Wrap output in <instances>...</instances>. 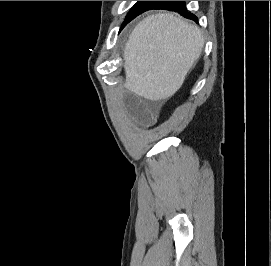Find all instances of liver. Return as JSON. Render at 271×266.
I'll list each match as a JSON object with an SVG mask.
<instances>
[{
    "label": "liver",
    "instance_id": "liver-1",
    "mask_svg": "<svg viewBox=\"0 0 271 266\" xmlns=\"http://www.w3.org/2000/svg\"><path fill=\"white\" fill-rule=\"evenodd\" d=\"M200 29L171 13L147 16L134 28L124 50V86L159 101L173 96L200 57Z\"/></svg>",
    "mask_w": 271,
    "mask_h": 266
}]
</instances>
